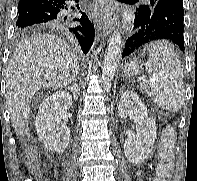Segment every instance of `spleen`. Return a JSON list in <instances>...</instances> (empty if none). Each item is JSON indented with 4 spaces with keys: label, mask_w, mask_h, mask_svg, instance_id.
I'll return each instance as SVG.
<instances>
[{
    "label": "spleen",
    "mask_w": 197,
    "mask_h": 181,
    "mask_svg": "<svg viewBox=\"0 0 197 181\" xmlns=\"http://www.w3.org/2000/svg\"><path fill=\"white\" fill-rule=\"evenodd\" d=\"M149 59L144 64L149 74L142 89L162 109L178 111L184 104V76L181 62L167 41H156L146 46Z\"/></svg>",
    "instance_id": "obj_1"
}]
</instances>
